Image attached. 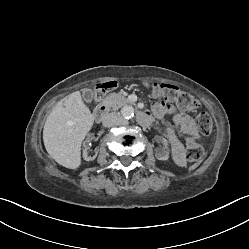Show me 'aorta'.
I'll return each mask as SVG.
<instances>
[{"mask_svg": "<svg viewBox=\"0 0 249 249\" xmlns=\"http://www.w3.org/2000/svg\"><path fill=\"white\" fill-rule=\"evenodd\" d=\"M121 115L125 119H130L134 116V109L132 106H125L121 110Z\"/></svg>", "mask_w": 249, "mask_h": 249, "instance_id": "1", "label": "aorta"}]
</instances>
